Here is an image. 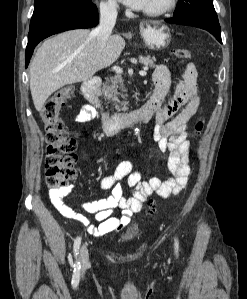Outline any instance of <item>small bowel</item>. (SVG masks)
<instances>
[{"instance_id": "c3829d8e", "label": "small bowel", "mask_w": 247, "mask_h": 299, "mask_svg": "<svg viewBox=\"0 0 247 299\" xmlns=\"http://www.w3.org/2000/svg\"><path fill=\"white\" fill-rule=\"evenodd\" d=\"M153 80L155 88L148 100L156 108L153 138L162 152L169 153V176L164 179L154 176L144 180L131 161L120 162L112 175L99 180L102 189L111 191L110 196L81 204L84 211L94 215L96 224L64 203L63 198L72 191L74 185L50 192V200L59 213L80 222L93 236L120 231L130 222L133 213L142 210L150 196L155 194L162 200L168 199L180 194L188 183L191 169L187 124L200 103L195 66L189 63L184 67L182 79L172 93L171 73L166 65L156 66ZM96 115L92 106L84 105L74 116V121L84 123ZM123 181L131 189L130 196L124 194ZM116 210L121 211L120 216L114 215Z\"/></svg>"}]
</instances>
